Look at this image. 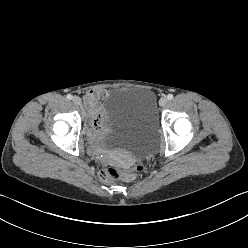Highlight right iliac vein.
Returning a JSON list of instances; mask_svg holds the SVG:
<instances>
[{"instance_id": "obj_1", "label": "right iliac vein", "mask_w": 248, "mask_h": 248, "mask_svg": "<svg viewBox=\"0 0 248 248\" xmlns=\"http://www.w3.org/2000/svg\"><path fill=\"white\" fill-rule=\"evenodd\" d=\"M72 102H73L75 105H81V103H82L80 97H78V96H74V97L72 98Z\"/></svg>"}]
</instances>
